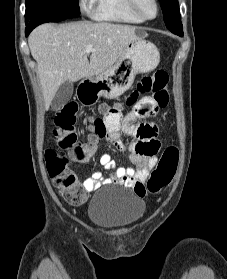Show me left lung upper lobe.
I'll return each instance as SVG.
<instances>
[{
    "mask_svg": "<svg viewBox=\"0 0 227 279\" xmlns=\"http://www.w3.org/2000/svg\"><path fill=\"white\" fill-rule=\"evenodd\" d=\"M166 27L172 33L183 32L178 0H159Z\"/></svg>",
    "mask_w": 227,
    "mask_h": 279,
    "instance_id": "1",
    "label": "left lung upper lobe"
}]
</instances>
